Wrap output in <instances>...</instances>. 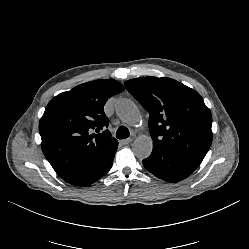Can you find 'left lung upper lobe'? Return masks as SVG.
Here are the masks:
<instances>
[{"label": "left lung upper lobe", "instance_id": "5c2ea615", "mask_svg": "<svg viewBox=\"0 0 249 249\" xmlns=\"http://www.w3.org/2000/svg\"><path fill=\"white\" fill-rule=\"evenodd\" d=\"M124 84L150 114L154 147L203 160L212 142V115L195 90L170 78H136Z\"/></svg>", "mask_w": 249, "mask_h": 249}]
</instances>
